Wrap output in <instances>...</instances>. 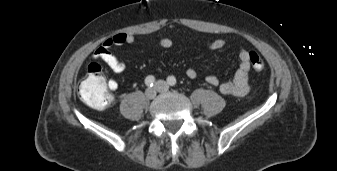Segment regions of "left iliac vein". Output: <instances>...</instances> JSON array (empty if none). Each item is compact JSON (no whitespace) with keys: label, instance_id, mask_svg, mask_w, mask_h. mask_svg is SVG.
<instances>
[{"label":"left iliac vein","instance_id":"left-iliac-vein-1","mask_svg":"<svg viewBox=\"0 0 337 171\" xmlns=\"http://www.w3.org/2000/svg\"><path fill=\"white\" fill-rule=\"evenodd\" d=\"M155 88L160 93H164V92H167L169 90L168 84L163 80L156 81Z\"/></svg>","mask_w":337,"mask_h":171}]
</instances>
